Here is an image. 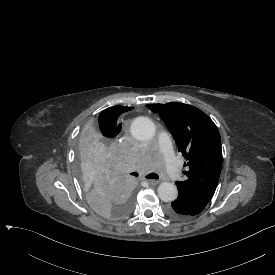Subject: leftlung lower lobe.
I'll use <instances>...</instances> for the list:
<instances>
[{
  "instance_id": "1",
  "label": "left lung lower lobe",
  "mask_w": 275,
  "mask_h": 275,
  "mask_svg": "<svg viewBox=\"0 0 275 275\" xmlns=\"http://www.w3.org/2000/svg\"><path fill=\"white\" fill-rule=\"evenodd\" d=\"M206 205L191 194L179 193L178 198L167 207V213L176 220H185L201 213Z\"/></svg>"
}]
</instances>
